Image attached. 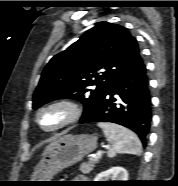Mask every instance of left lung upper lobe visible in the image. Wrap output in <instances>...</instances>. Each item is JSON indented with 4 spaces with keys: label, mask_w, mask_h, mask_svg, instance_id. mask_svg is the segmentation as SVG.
Returning <instances> with one entry per match:
<instances>
[{
    "label": "left lung upper lobe",
    "mask_w": 178,
    "mask_h": 186,
    "mask_svg": "<svg viewBox=\"0 0 178 186\" xmlns=\"http://www.w3.org/2000/svg\"><path fill=\"white\" fill-rule=\"evenodd\" d=\"M135 37L126 28L98 22L44 68L33 95V109L72 98L88 113L98 106L113 82L142 62Z\"/></svg>",
    "instance_id": "1"
}]
</instances>
